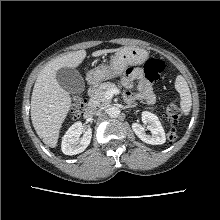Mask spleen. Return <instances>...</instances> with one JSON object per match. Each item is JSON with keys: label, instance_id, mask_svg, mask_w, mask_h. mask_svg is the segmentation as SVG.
<instances>
[{"label": "spleen", "instance_id": "1", "mask_svg": "<svg viewBox=\"0 0 220 220\" xmlns=\"http://www.w3.org/2000/svg\"><path fill=\"white\" fill-rule=\"evenodd\" d=\"M175 88L180 93L181 96V101H180L181 110L185 115H188L192 106V98H191L189 86L186 80L181 75H178L176 77Z\"/></svg>", "mask_w": 220, "mask_h": 220}]
</instances>
